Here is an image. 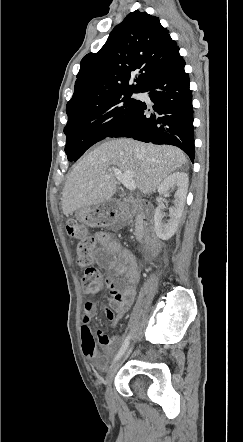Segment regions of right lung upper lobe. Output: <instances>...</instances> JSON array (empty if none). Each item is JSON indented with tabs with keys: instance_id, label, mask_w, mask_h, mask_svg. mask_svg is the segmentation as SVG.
<instances>
[{
	"instance_id": "1",
	"label": "right lung upper lobe",
	"mask_w": 243,
	"mask_h": 442,
	"mask_svg": "<svg viewBox=\"0 0 243 442\" xmlns=\"http://www.w3.org/2000/svg\"><path fill=\"white\" fill-rule=\"evenodd\" d=\"M178 50L158 17L138 10L129 13L97 53H89L81 60L75 92L67 103L68 118L115 95L140 91ZM133 78L135 83L129 85Z\"/></svg>"
}]
</instances>
